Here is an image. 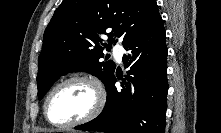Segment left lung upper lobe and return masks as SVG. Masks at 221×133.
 <instances>
[{"mask_svg":"<svg viewBox=\"0 0 221 133\" xmlns=\"http://www.w3.org/2000/svg\"><path fill=\"white\" fill-rule=\"evenodd\" d=\"M159 17L155 0H63L44 32L38 58L39 98L60 76L74 71L95 75L106 86L115 64L99 61L104 48L115 38L124 45ZM103 34L109 37L108 44Z\"/></svg>","mask_w":221,"mask_h":133,"instance_id":"obj_1","label":"left lung upper lobe"}]
</instances>
